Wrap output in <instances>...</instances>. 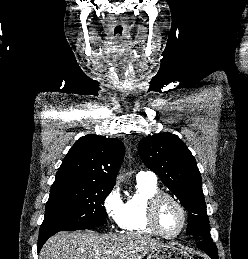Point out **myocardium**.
<instances>
[{
	"mask_svg": "<svg viewBox=\"0 0 248 259\" xmlns=\"http://www.w3.org/2000/svg\"><path fill=\"white\" fill-rule=\"evenodd\" d=\"M169 199L172 202L175 203V205L179 208L181 215H182V224L180 229L174 233V234H166L160 227L159 222H158V208L160 203L165 200ZM147 216H148V221L151 226V228L155 231L156 234L159 236L166 238V239H173L178 237L185 229L187 225V212L183 204L180 202L178 198L175 196L165 193V192H158L155 195H153L149 202H148V209H147Z\"/></svg>",
	"mask_w": 248,
	"mask_h": 259,
	"instance_id": "obj_1",
	"label": "myocardium"
}]
</instances>
